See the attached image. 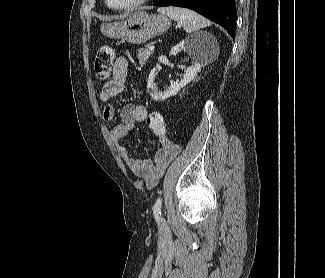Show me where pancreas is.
Here are the masks:
<instances>
[{
    "label": "pancreas",
    "instance_id": "1",
    "mask_svg": "<svg viewBox=\"0 0 325 278\" xmlns=\"http://www.w3.org/2000/svg\"><path fill=\"white\" fill-rule=\"evenodd\" d=\"M153 51L148 49V46L145 48H140L137 51V57L139 60L140 65H144L148 58L152 55Z\"/></svg>",
    "mask_w": 325,
    "mask_h": 278
}]
</instances>
